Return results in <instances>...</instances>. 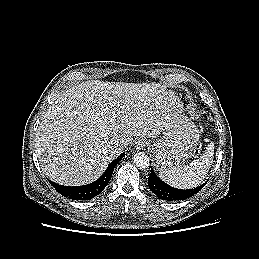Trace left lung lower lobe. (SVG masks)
Here are the masks:
<instances>
[{
    "label": "left lung lower lobe",
    "mask_w": 259,
    "mask_h": 259,
    "mask_svg": "<svg viewBox=\"0 0 259 259\" xmlns=\"http://www.w3.org/2000/svg\"><path fill=\"white\" fill-rule=\"evenodd\" d=\"M205 184L206 182L201 186L189 190L177 189L161 181L153 169H151V173L148 178V185L150 190L158 197L166 201L183 200L192 197L194 194L198 193L205 186Z\"/></svg>",
    "instance_id": "obj_1"
}]
</instances>
